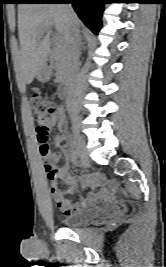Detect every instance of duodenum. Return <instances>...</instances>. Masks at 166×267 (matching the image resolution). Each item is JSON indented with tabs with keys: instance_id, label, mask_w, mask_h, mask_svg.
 Returning <instances> with one entry per match:
<instances>
[{
	"instance_id": "410a0bca",
	"label": "duodenum",
	"mask_w": 166,
	"mask_h": 267,
	"mask_svg": "<svg viewBox=\"0 0 166 267\" xmlns=\"http://www.w3.org/2000/svg\"><path fill=\"white\" fill-rule=\"evenodd\" d=\"M55 64L51 57V55H47L43 60V72L45 74H51L54 71ZM69 92V85L67 81H63L59 90H58V96L61 99H65L68 96Z\"/></svg>"
}]
</instances>
